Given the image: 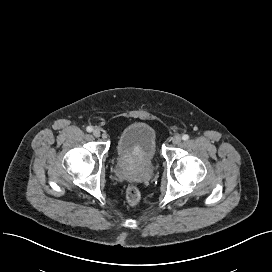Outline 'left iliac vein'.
I'll return each mask as SVG.
<instances>
[{"label": "left iliac vein", "mask_w": 272, "mask_h": 272, "mask_svg": "<svg viewBox=\"0 0 272 272\" xmlns=\"http://www.w3.org/2000/svg\"><path fill=\"white\" fill-rule=\"evenodd\" d=\"M181 137L179 135H175L173 138H172V143L173 144H179L181 142Z\"/></svg>", "instance_id": "obj_1"}]
</instances>
